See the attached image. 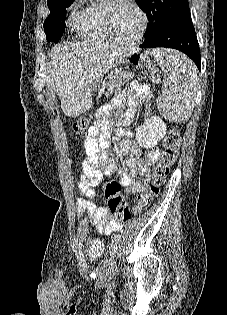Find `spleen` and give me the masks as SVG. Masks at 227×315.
Returning a JSON list of instances; mask_svg holds the SVG:
<instances>
[{
	"instance_id": "obj_1",
	"label": "spleen",
	"mask_w": 227,
	"mask_h": 315,
	"mask_svg": "<svg viewBox=\"0 0 227 315\" xmlns=\"http://www.w3.org/2000/svg\"><path fill=\"white\" fill-rule=\"evenodd\" d=\"M150 55L164 71V88L157 99L159 112L176 123L187 121L196 97V68L186 56L171 49H155Z\"/></svg>"
}]
</instances>
